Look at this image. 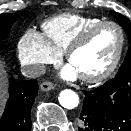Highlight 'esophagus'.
<instances>
[{
    "label": "esophagus",
    "instance_id": "34e87169",
    "mask_svg": "<svg viewBox=\"0 0 131 131\" xmlns=\"http://www.w3.org/2000/svg\"><path fill=\"white\" fill-rule=\"evenodd\" d=\"M40 88L42 91H50V90L54 89L55 86L53 85V83L46 81L40 85Z\"/></svg>",
    "mask_w": 131,
    "mask_h": 131
}]
</instances>
